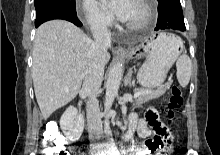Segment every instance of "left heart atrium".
I'll list each match as a JSON object with an SVG mask.
<instances>
[{
    "mask_svg": "<svg viewBox=\"0 0 220 155\" xmlns=\"http://www.w3.org/2000/svg\"><path fill=\"white\" fill-rule=\"evenodd\" d=\"M133 0H101V3L121 20H126Z\"/></svg>",
    "mask_w": 220,
    "mask_h": 155,
    "instance_id": "1",
    "label": "left heart atrium"
}]
</instances>
